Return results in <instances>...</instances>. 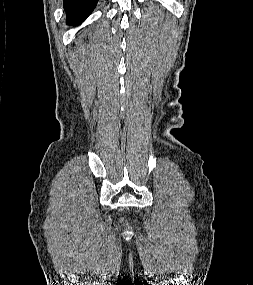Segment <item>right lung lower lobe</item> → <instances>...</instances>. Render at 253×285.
<instances>
[{"mask_svg": "<svg viewBox=\"0 0 253 285\" xmlns=\"http://www.w3.org/2000/svg\"><path fill=\"white\" fill-rule=\"evenodd\" d=\"M98 0H63L67 24L77 25L86 19L96 7Z\"/></svg>", "mask_w": 253, "mask_h": 285, "instance_id": "obj_1", "label": "right lung lower lobe"}]
</instances>
